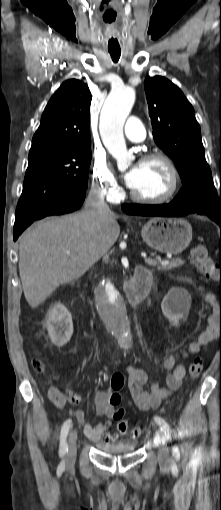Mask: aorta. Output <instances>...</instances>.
Returning a JSON list of instances; mask_svg holds the SVG:
<instances>
[{"label":"aorta","instance_id":"762f6f07","mask_svg":"<svg viewBox=\"0 0 221 510\" xmlns=\"http://www.w3.org/2000/svg\"><path fill=\"white\" fill-rule=\"evenodd\" d=\"M135 101V91L128 86L113 89L100 114V135L109 153L117 160L120 169L127 165V151L123 126ZM99 309L123 346H129L128 311L124 297L112 281L101 284L98 293Z\"/></svg>","mask_w":221,"mask_h":510}]
</instances>
